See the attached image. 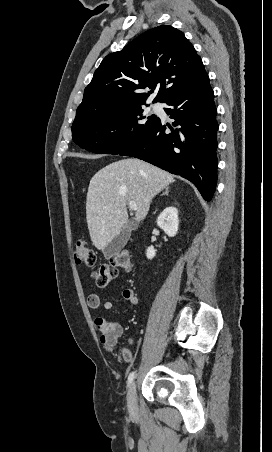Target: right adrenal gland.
<instances>
[{
    "label": "right adrenal gland",
    "mask_w": 272,
    "mask_h": 452,
    "mask_svg": "<svg viewBox=\"0 0 272 452\" xmlns=\"http://www.w3.org/2000/svg\"><path fill=\"white\" fill-rule=\"evenodd\" d=\"M168 193H169V187H166L165 192L162 193L161 196H162V195H167V196H168Z\"/></svg>",
    "instance_id": "1"
}]
</instances>
